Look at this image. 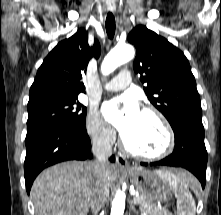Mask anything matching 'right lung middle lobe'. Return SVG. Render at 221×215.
I'll list each match as a JSON object with an SVG mask.
<instances>
[{
    "label": "right lung middle lobe",
    "mask_w": 221,
    "mask_h": 215,
    "mask_svg": "<svg viewBox=\"0 0 221 215\" xmlns=\"http://www.w3.org/2000/svg\"><path fill=\"white\" fill-rule=\"evenodd\" d=\"M86 108L77 98L55 100L28 106L27 132L50 124H65L75 127L85 125Z\"/></svg>",
    "instance_id": "1"
}]
</instances>
